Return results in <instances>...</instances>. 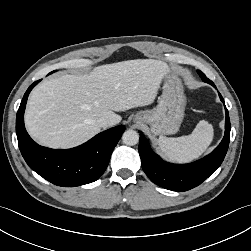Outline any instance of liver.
Wrapping results in <instances>:
<instances>
[{
  "label": "liver",
  "instance_id": "1",
  "mask_svg": "<svg viewBox=\"0 0 251 251\" xmlns=\"http://www.w3.org/2000/svg\"><path fill=\"white\" fill-rule=\"evenodd\" d=\"M167 65L136 59L95 67L89 74L50 78L35 87L28 99L25 125L41 145L70 148L98 134L97 120L121 121L115 112L151 104Z\"/></svg>",
  "mask_w": 251,
  "mask_h": 251
}]
</instances>
